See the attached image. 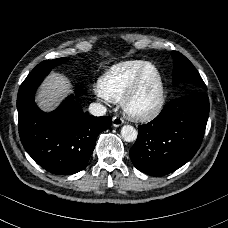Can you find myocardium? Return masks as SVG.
I'll use <instances>...</instances> for the list:
<instances>
[{"instance_id": "myocardium-1", "label": "myocardium", "mask_w": 228, "mask_h": 228, "mask_svg": "<svg viewBox=\"0 0 228 228\" xmlns=\"http://www.w3.org/2000/svg\"><path fill=\"white\" fill-rule=\"evenodd\" d=\"M149 70H154L159 79V96L157 103L150 108H142L136 104V100L141 91L143 82L149 72ZM166 103V88L164 76L161 70L156 65H149L145 67L137 76L134 83L132 84L130 90L124 96L121 101L122 109L124 113L137 121H150L156 118L164 109Z\"/></svg>"}]
</instances>
